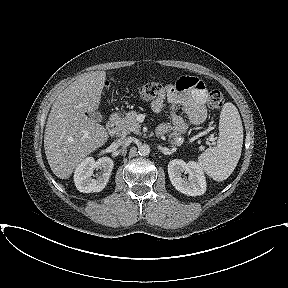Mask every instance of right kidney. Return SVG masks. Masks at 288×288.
Wrapping results in <instances>:
<instances>
[{
	"instance_id": "ca27d5eb",
	"label": "right kidney",
	"mask_w": 288,
	"mask_h": 288,
	"mask_svg": "<svg viewBox=\"0 0 288 288\" xmlns=\"http://www.w3.org/2000/svg\"><path fill=\"white\" fill-rule=\"evenodd\" d=\"M113 166L114 162L109 157H102L97 161L92 157L83 159L74 173L76 188L83 193L102 191L109 181ZM95 169H100L101 173L94 175Z\"/></svg>"
}]
</instances>
